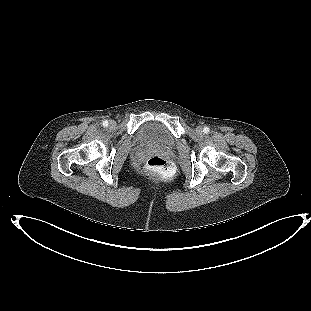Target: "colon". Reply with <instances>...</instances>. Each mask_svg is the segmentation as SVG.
<instances>
[{
  "label": "colon",
  "mask_w": 311,
  "mask_h": 311,
  "mask_svg": "<svg viewBox=\"0 0 311 311\" xmlns=\"http://www.w3.org/2000/svg\"><path fill=\"white\" fill-rule=\"evenodd\" d=\"M147 171L161 178H168L172 175V166L161 156H153L146 163Z\"/></svg>",
  "instance_id": "obj_1"
}]
</instances>
